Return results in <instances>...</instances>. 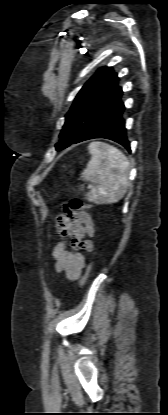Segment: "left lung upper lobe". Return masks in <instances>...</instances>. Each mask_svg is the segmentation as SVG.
Returning a JSON list of instances; mask_svg holds the SVG:
<instances>
[{
	"label": "left lung upper lobe",
	"mask_w": 168,
	"mask_h": 415,
	"mask_svg": "<svg viewBox=\"0 0 168 415\" xmlns=\"http://www.w3.org/2000/svg\"><path fill=\"white\" fill-rule=\"evenodd\" d=\"M118 76L112 67L100 68L82 87L67 113L58 151L76 143L96 116L115 97L122 93Z\"/></svg>",
	"instance_id": "5c2ea615"
}]
</instances>
